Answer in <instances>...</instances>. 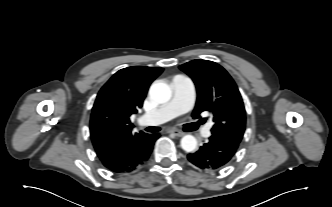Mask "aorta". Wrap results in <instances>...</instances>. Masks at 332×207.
I'll use <instances>...</instances> for the list:
<instances>
[{
	"mask_svg": "<svg viewBox=\"0 0 332 207\" xmlns=\"http://www.w3.org/2000/svg\"><path fill=\"white\" fill-rule=\"evenodd\" d=\"M150 98L157 103H166L172 96L170 87L163 82H154L149 89ZM197 147V140L192 135H185L181 139V148L186 152H192Z\"/></svg>",
	"mask_w": 332,
	"mask_h": 207,
	"instance_id": "obj_1",
	"label": "aorta"
}]
</instances>
